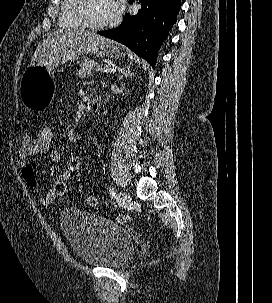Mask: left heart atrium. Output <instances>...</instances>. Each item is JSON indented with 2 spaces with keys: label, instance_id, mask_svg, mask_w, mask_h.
<instances>
[{
  "label": "left heart atrium",
  "instance_id": "1",
  "mask_svg": "<svg viewBox=\"0 0 272 303\" xmlns=\"http://www.w3.org/2000/svg\"><path fill=\"white\" fill-rule=\"evenodd\" d=\"M111 3V11H112V15L113 17H117L121 11H122V0H110Z\"/></svg>",
  "mask_w": 272,
  "mask_h": 303
}]
</instances>
